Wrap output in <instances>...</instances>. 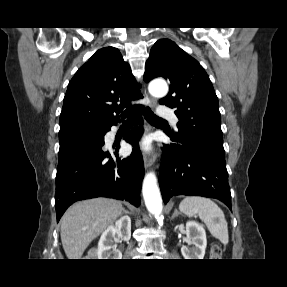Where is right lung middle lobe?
<instances>
[{"mask_svg": "<svg viewBox=\"0 0 287 287\" xmlns=\"http://www.w3.org/2000/svg\"><path fill=\"white\" fill-rule=\"evenodd\" d=\"M102 128L103 126L84 122L61 126L59 131V143L63 144L68 141L83 139L96 140L99 138Z\"/></svg>", "mask_w": 287, "mask_h": 287, "instance_id": "dd1d6c3e", "label": "right lung middle lobe"}]
</instances>
